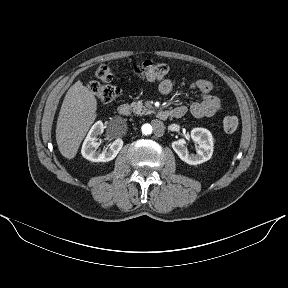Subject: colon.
Masks as SVG:
<instances>
[{
	"label": "colon",
	"instance_id": "5ec220e1",
	"mask_svg": "<svg viewBox=\"0 0 288 288\" xmlns=\"http://www.w3.org/2000/svg\"><path fill=\"white\" fill-rule=\"evenodd\" d=\"M167 73L168 67L165 64L154 61H145L134 69V74L138 79L148 81L163 79ZM96 78L101 82L109 83L113 80L114 73L109 66L102 65L96 71ZM99 81H90L88 83L89 90L102 102H113L119 95V88ZM222 125L226 133H234L238 128L239 121L236 116H226Z\"/></svg>",
	"mask_w": 288,
	"mask_h": 288
}]
</instances>
